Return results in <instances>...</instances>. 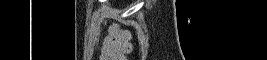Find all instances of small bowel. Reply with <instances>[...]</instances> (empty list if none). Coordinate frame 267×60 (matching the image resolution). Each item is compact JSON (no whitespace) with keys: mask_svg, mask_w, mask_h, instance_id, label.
I'll list each match as a JSON object with an SVG mask.
<instances>
[{"mask_svg":"<svg viewBox=\"0 0 267 60\" xmlns=\"http://www.w3.org/2000/svg\"><path fill=\"white\" fill-rule=\"evenodd\" d=\"M116 28L115 27H112L111 29H110V31H113V30H115Z\"/></svg>","mask_w":267,"mask_h":60,"instance_id":"obj_1","label":"small bowel"}]
</instances>
